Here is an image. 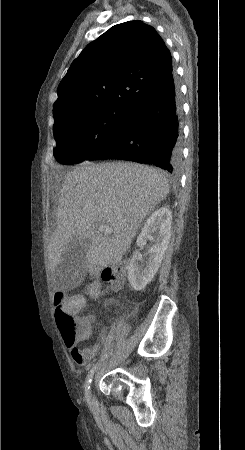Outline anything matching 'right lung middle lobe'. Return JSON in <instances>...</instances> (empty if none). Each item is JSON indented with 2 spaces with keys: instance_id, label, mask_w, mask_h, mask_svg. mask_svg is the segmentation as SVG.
I'll return each mask as SVG.
<instances>
[{
  "instance_id": "dd1d6c3e",
  "label": "right lung middle lobe",
  "mask_w": 245,
  "mask_h": 450,
  "mask_svg": "<svg viewBox=\"0 0 245 450\" xmlns=\"http://www.w3.org/2000/svg\"><path fill=\"white\" fill-rule=\"evenodd\" d=\"M130 110V106L105 105L53 114V132L57 141L54 157L60 164L72 165L105 150L121 136Z\"/></svg>"
}]
</instances>
